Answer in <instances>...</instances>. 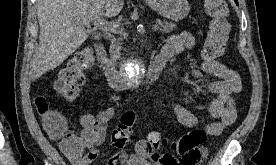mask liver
Instances as JSON below:
<instances>
[{
	"label": "liver",
	"instance_id": "liver-1",
	"mask_svg": "<svg viewBox=\"0 0 276 165\" xmlns=\"http://www.w3.org/2000/svg\"><path fill=\"white\" fill-rule=\"evenodd\" d=\"M124 0H37L39 45L31 61L33 80L55 69L88 38L85 26L98 15L117 16Z\"/></svg>",
	"mask_w": 276,
	"mask_h": 165
}]
</instances>
